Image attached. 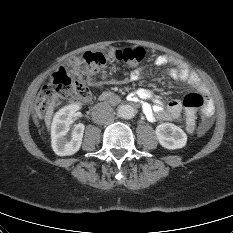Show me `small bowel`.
<instances>
[{"label":"small bowel","mask_w":233,"mask_h":233,"mask_svg":"<svg viewBox=\"0 0 233 233\" xmlns=\"http://www.w3.org/2000/svg\"><path fill=\"white\" fill-rule=\"evenodd\" d=\"M154 63L157 66L166 64L177 65V67L171 68L168 71L169 76L173 79L187 82L194 90L206 97L207 102L202 110V123L199 130L200 132L208 130L211 125L210 117L213 114L214 106L209 99L208 90L200 78L189 69L178 65L172 57L165 54L157 56ZM141 71V68L134 69L130 74V78L133 80L137 79ZM128 100L134 103H141L146 118L152 122L159 120L179 121L182 117V103L180 100H172L167 105H164L154 97L153 91L147 88H141L137 92L130 94ZM187 128L188 131L192 132L194 130V123L190 124L187 122Z\"/></svg>","instance_id":"obj_1"}]
</instances>
